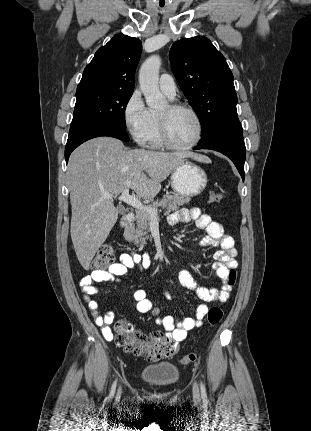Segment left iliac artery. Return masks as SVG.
Returning <instances> with one entry per match:
<instances>
[{
    "instance_id": "left-iliac-artery-1",
    "label": "left iliac artery",
    "mask_w": 311,
    "mask_h": 431,
    "mask_svg": "<svg viewBox=\"0 0 311 431\" xmlns=\"http://www.w3.org/2000/svg\"><path fill=\"white\" fill-rule=\"evenodd\" d=\"M200 387H201L202 398L204 401H207L206 388H205V385L203 384V382H201Z\"/></svg>"
}]
</instances>
